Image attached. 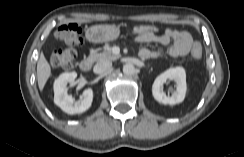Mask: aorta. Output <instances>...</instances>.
<instances>
[{"label": "aorta", "mask_w": 244, "mask_h": 157, "mask_svg": "<svg viewBox=\"0 0 244 157\" xmlns=\"http://www.w3.org/2000/svg\"><path fill=\"white\" fill-rule=\"evenodd\" d=\"M123 73L125 75H133L135 73V67L133 64H125L123 66Z\"/></svg>", "instance_id": "aorta-1"}]
</instances>
